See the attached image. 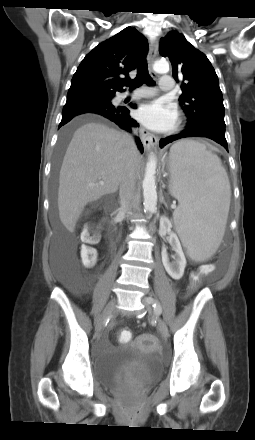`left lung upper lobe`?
I'll use <instances>...</instances> for the list:
<instances>
[{"mask_svg":"<svg viewBox=\"0 0 255 440\" xmlns=\"http://www.w3.org/2000/svg\"><path fill=\"white\" fill-rule=\"evenodd\" d=\"M160 54L169 57L174 79L177 82L182 80L179 101L188 117L187 124L216 123L225 126L222 92L207 56L177 31L161 39Z\"/></svg>","mask_w":255,"mask_h":440,"instance_id":"5c2ea615","label":"left lung upper lobe"}]
</instances>
